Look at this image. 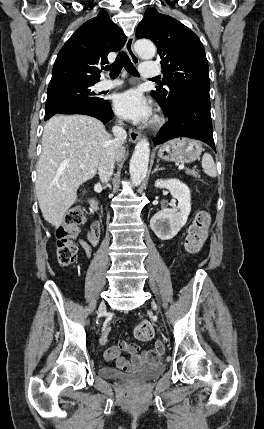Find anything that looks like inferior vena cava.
<instances>
[{
  "mask_svg": "<svg viewBox=\"0 0 264 429\" xmlns=\"http://www.w3.org/2000/svg\"><path fill=\"white\" fill-rule=\"evenodd\" d=\"M113 134L115 138L111 140L102 154L98 167V174L101 182L107 183L113 174L115 167V161L118 159V152L123 147V143L127 138V133L123 128V123L119 122L118 125L114 126Z\"/></svg>",
  "mask_w": 264,
  "mask_h": 429,
  "instance_id": "602c4592",
  "label": "inferior vena cava"
}]
</instances>
